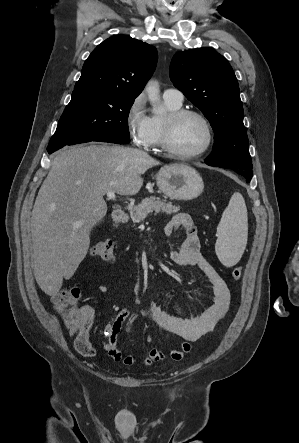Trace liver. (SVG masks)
Returning a JSON list of instances; mask_svg holds the SVG:
<instances>
[{
    "instance_id": "obj_1",
    "label": "liver",
    "mask_w": 299,
    "mask_h": 443,
    "mask_svg": "<svg viewBox=\"0 0 299 443\" xmlns=\"http://www.w3.org/2000/svg\"><path fill=\"white\" fill-rule=\"evenodd\" d=\"M160 162L123 146L64 148L52 161L31 217L34 276L49 296L70 279L85 258L93 228L107 213L104 195H136L142 174Z\"/></svg>"
}]
</instances>
